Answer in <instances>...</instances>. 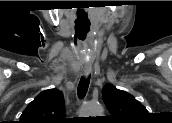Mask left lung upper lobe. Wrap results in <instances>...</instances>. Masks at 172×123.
<instances>
[{"mask_svg": "<svg viewBox=\"0 0 172 123\" xmlns=\"http://www.w3.org/2000/svg\"><path fill=\"white\" fill-rule=\"evenodd\" d=\"M103 101L111 114L108 118L117 122L140 120L148 114L146 108L131 94L106 84L102 91Z\"/></svg>", "mask_w": 172, "mask_h": 123, "instance_id": "obj_1", "label": "left lung upper lobe"}]
</instances>
